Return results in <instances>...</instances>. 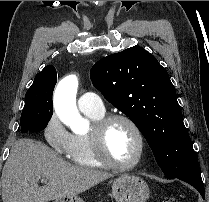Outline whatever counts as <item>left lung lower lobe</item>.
<instances>
[{
  "instance_id": "obj_1",
  "label": "left lung lower lobe",
  "mask_w": 209,
  "mask_h": 202,
  "mask_svg": "<svg viewBox=\"0 0 209 202\" xmlns=\"http://www.w3.org/2000/svg\"><path fill=\"white\" fill-rule=\"evenodd\" d=\"M175 178L185 181L189 183L190 185H192L193 187H195L202 195V198L205 199L204 184L202 182L201 172H200L199 167L189 171L188 173L184 175H181Z\"/></svg>"
}]
</instances>
